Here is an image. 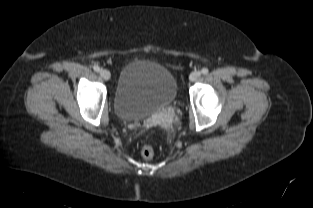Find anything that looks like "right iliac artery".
Returning <instances> with one entry per match:
<instances>
[{"mask_svg": "<svg viewBox=\"0 0 313 208\" xmlns=\"http://www.w3.org/2000/svg\"><path fill=\"white\" fill-rule=\"evenodd\" d=\"M93 69L95 72H99L100 71V67L98 65H94Z\"/></svg>", "mask_w": 313, "mask_h": 208, "instance_id": "obj_1", "label": "right iliac artery"}]
</instances>
